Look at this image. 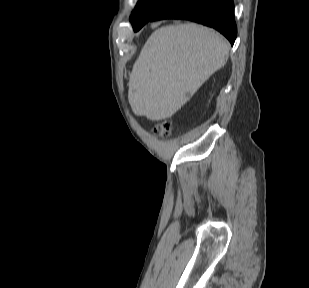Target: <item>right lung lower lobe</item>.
I'll return each mask as SVG.
<instances>
[{"label":"right lung lower lobe","mask_w":309,"mask_h":288,"mask_svg":"<svg viewBox=\"0 0 309 288\" xmlns=\"http://www.w3.org/2000/svg\"><path fill=\"white\" fill-rule=\"evenodd\" d=\"M168 18L190 20L215 28L232 45L236 39L233 0H177L160 10L150 21Z\"/></svg>","instance_id":"98d812e1"}]
</instances>
